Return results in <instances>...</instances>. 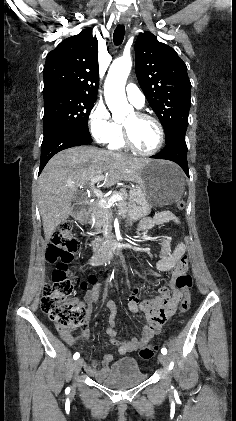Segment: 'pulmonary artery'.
<instances>
[{"instance_id":"e3ab8cb5","label":"pulmonary artery","mask_w":236,"mask_h":421,"mask_svg":"<svg viewBox=\"0 0 236 421\" xmlns=\"http://www.w3.org/2000/svg\"><path fill=\"white\" fill-rule=\"evenodd\" d=\"M128 100L137 108L142 109L145 106V97L143 93L134 85L128 84L126 87Z\"/></svg>"}]
</instances>
